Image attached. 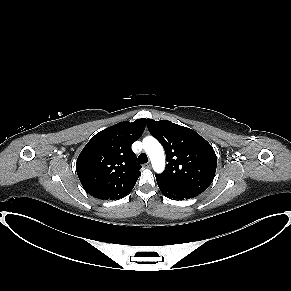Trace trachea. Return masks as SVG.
Here are the masks:
<instances>
[{
	"label": "trachea",
	"mask_w": 291,
	"mask_h": 291,
	"mask_svg": "<svg viewBox=\"0 0 291 291\" xmlns=\"http://www.w3.org/2000/svg\"><path fill=\"white\" fill-rule=\"evenodd\" d=\"M148 162V157L145 153H142L138 156V163L144 164Z\"/></svg>",
	"instance_id": "1"
}]
</instances>
